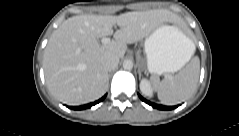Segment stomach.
Masks as SVG:
<instances>
[{"label": "stomach", "instance_id": "obj_1", "mask_svg": "<svg viewBox=\"0 0 239 136\" xmlns=\"http://www.w3.org/2000/svg\"><path fill=\"white\" fill-rule=\"evenodd\" d=\"M191 45L179 23H162L145 39L147 69L154 75L180 70L189 60Z\"/></svg>", "mask_w": 239, "mask_h": 136}]
</instances>
